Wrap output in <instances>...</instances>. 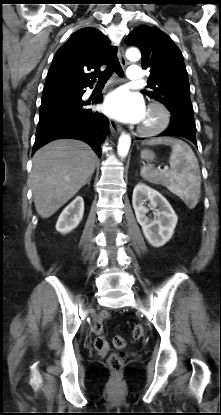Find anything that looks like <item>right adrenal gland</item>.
<instances>
[{
    "label": "right adrenal gland",
    "instance_id": "1",
    "mask_svg": "<svg viewBox=\"0 0 221 415\" xmlns=\"http://www.w3.org/2000/svg\"><path fill=\"white\" fill-rule=\"evenodd\" d=\"M91 177L87 180V184L90 185Z\"/></svg>",
    "mask_w": 221,
    "mask_h": 415
}]
</instances>
